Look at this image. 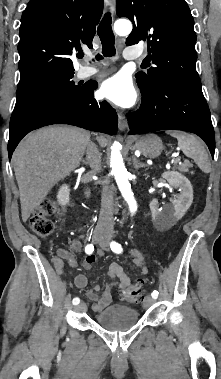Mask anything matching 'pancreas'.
Returning <instances> with one entry per match:
<instances>
[{
  "label": "pancreas",
  "instance_id": "1",
  "mask_svg": "<svg viewBox=\"0 0 221 379\" xmlns=\"http://www.w3.org/2000/svg\"><path fill=\"white\" fill-rule=\"evenodd\" d=\"M190 167H191V164L185 162V163L178 165L176 168L181 172H188Z\"/></svg>",
  "mask_w": 221,
  "mask_h": 379
}]
</instances>
